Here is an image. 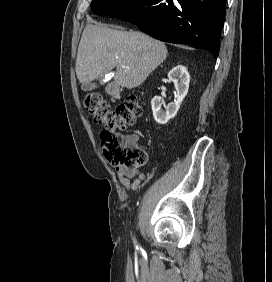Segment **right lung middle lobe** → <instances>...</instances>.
<instances>
[{
	"label": "right lung middle lobe",
	"instance_id": "1",
	"mask_svg": "<svg viewBox=\"0 0 272 282\" xmlns=\"http://www.w3.org/2000/svg\"><path fill=\"white\" fill-rule=\"evenodd\" d=\"M138 0H92L91 10L97 15H111Z\"/></svg>",
	"mask_w": 272,
	"mask_h": 282
}]
</instances>
